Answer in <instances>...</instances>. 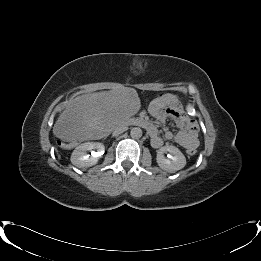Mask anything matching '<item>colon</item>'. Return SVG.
Instances as JSON below:
<instances>
[{"label": "colon", "instance_id": "colon-1", "mask_svg": "<svg viewBox=\"0 0 261 261\" xmlns=\"http://www.w3.org/2000/svg\"><path fill=\"white\" fill-rule=\"evenodd\" d=\"M63 147H72L73 146V144L72 143H62L61 144ZM187 154L188 155H195L196 154V152H197V149L195 148V147H189V148H187Z\"/></svg>", "mask_w": 261, "mask_h": 261}]
</instances>
